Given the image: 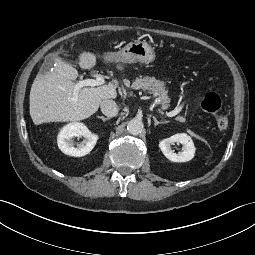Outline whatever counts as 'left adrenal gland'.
Returning <instances> with one entry per match:
<instances>
[{"label": "left adrenal gland", "mask_w": 255, "mask_h": 255, "mask_svg": "<svg viewBox=\"0 0 255 255\" xmlns=\"http://www.w3.org/2000/svg\"><path fill=\"white\" fill-rule=\"evenodd\" d=\"M153 118V120H154V125L155 126H157V125H159V124H166V123H169V121H158L157 119H156V117H152Z\"/></svg>", "instance_id": "obj_1"}]
</instances>
